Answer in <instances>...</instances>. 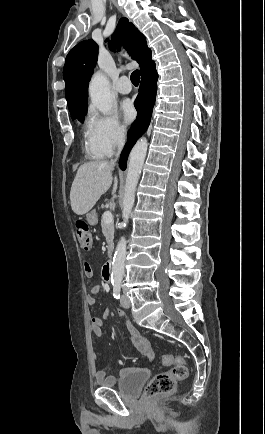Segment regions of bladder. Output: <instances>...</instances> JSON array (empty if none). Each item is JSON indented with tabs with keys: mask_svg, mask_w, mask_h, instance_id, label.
Instances as JSON below:
<instances>
[{
	"mask_svg": "<svg viewBox=\"0 0 265 434\" xmlns=\"http://www.w3.org/2000/svg\"><path fill=\"white\" fill-rule=\"evenodd\" d=\"M150 376V371L143 367H126L119 371L117 391L127 399L138 397L144 383Z\"/></svg>",
	"mask_w": 265,
	"mask_h": 434,
	"instance_id": "obj_1",
	"label": "bladder"
}]
</instances>
